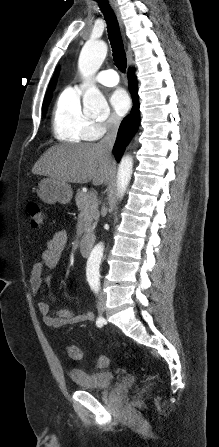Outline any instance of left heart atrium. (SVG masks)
<instances>
[{
	"label": "left heart atrium",
	"mask_w": 219,
	"mask_h": 447,
	"mask_svg": "<svg viewBox=\"0 0 219 447\" xmlns=\"http://www.w3.org/2000/svg\"><path fill=\"white\" fill-rule=\"evenodd\" d=\"M109 103L113 111L119 116L125 115L131 107V99L128 93L121 88L116 89L111 93Z\"/></svg>",
	"instance_id": "1"
}]
</instances>
